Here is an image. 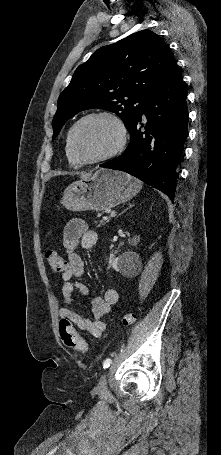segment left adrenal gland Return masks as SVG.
I'll return each mask as SVG.
<instances>
[{"mask_svg":"<svg viewBox=\"0 0 221 455\" xmlns=\"http://www.w3.org/2000/svg\"><path fill=\"white\" fill-rule=\"evenodd\" d=\"M133 206H134V205H131V204H130L129 207L126 208L121 214H123V213L126 212L128 209L132 208Z\"/></svg>","mask_w":221,"mask_h":455,"instance_id":"obj_1","label":"left adrenal gland"}]
</instances>
